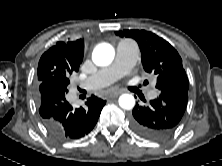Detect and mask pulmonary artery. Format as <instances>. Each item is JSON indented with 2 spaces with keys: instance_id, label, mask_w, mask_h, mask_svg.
Listing matches in <instances>:
<instances>
[{
  "instance_id": "e3ab8cb5",
  "label": "pulmonary artery",
  "mask_w": 222,
  "mask_h": 166,
  "mask_svg": "<svg viewBox=\"0 0 222 166\" xmlns=\"http://www.w3.org/2000/svg\"><path fill=\"white\" fill-rule=\"evenodd\" d=\"M137 58L138 49L136 45L132 41L123 40L117 45L116 58L113 64L82 81L81 86L88 90L106 87L127 73ZM147 95L150 99H154L158 96V91L151 88Z\"/></svg>"
}]
</instances>
